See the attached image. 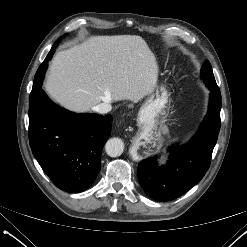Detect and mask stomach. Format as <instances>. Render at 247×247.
<instances>
[{"label":"stomach","instance_id":"0dacf381","mask_svg":"<svg viewBox=\"0 0 247 247\" xmlns=\"http://www.w3.org/2000/svg\"><path fill=\"white\" fill-rule=\"evenodd\" d=\"M170 108L171 93L165 85L156 87L139 110V125L147 129L163 124L170 114Z\"/></svg>","mask_w":247,"mask_h":247}]
</instances>
